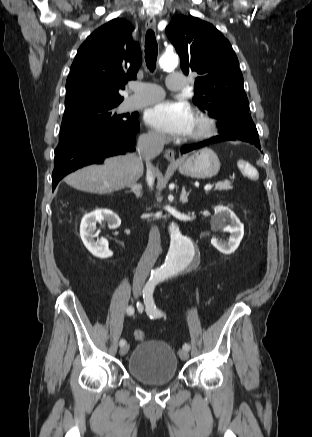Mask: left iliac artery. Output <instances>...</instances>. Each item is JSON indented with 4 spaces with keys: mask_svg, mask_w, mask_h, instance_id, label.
Listing matches in <instances>:
<instances>
[{
    "mask_svg": "<svg viewBox=\"0 0 312 437\" xmlns=\"http://www.w3.org/2000/svg\"><path fill=\"white\" fill-rule=\"evenodd\" d=\"M159 281L160 280L158 278L151 277L143 290V297H144V302L146 305V312L150 316V318H158V317L163 316V312L156 307L154 300H153L154 288L159 283ZM183 349L188 351L190 349V345L188 343H185L183 345Z\"/></svg>",
    "mask_w": 312,
    "mask_h": 437,
    "instance_id": "obj_1",
    "label": "left iliac artery"
}]
</instances>
